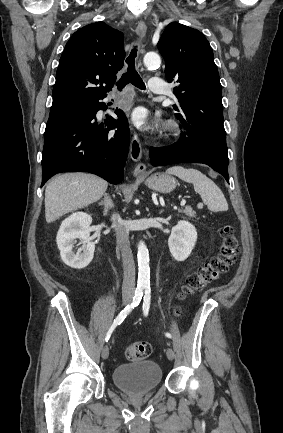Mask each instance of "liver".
I'll use <instances>...</instances> for the list:
<instances>
[{"label":"liver","instance_id":"obj_1","mask_svg":"<svg viewBox=\"0 0 283 433\" xmlns=\"http://www.w3.org/2000/svg\"><path fill=\"white\" fill-rule=\"evenodd\" d=\"M108 182L85 172L58 174L48 182L45 190V219L47 223L57 221L66 212L83 208L103 196Z\"/></svg>","mask_w":283,"mask_h":433}]
</instances>
